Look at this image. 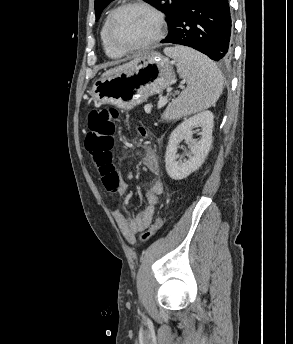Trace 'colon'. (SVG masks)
<instances>
[{
  "mask_svg": "<svg viewBox=\"0 0 293 344\" xmlns=\"http://www.w3.org/2000/svg\"><path fill=\"white\" fill-rule=\"evenodd\" d=\"M118 111L114 108H97L89 112L87 116V126L89 133L85 140L86 149L94 155L96 163L99 168L112 165L111 164V149L114 145V133L116 122L118 121ZM138 132L145 137L147 131L140 127ZM103 183L110 191L117 190V184H108L103 178ZM163 221L161 217H156L152 225L146 230L141 239L148 240L162 227Z\"/></svg>",
  "mask_w": 293,
  "mask_h": 344,
  "instance_id": "obj_1",
  "label": "colon"
}]
</instances>
